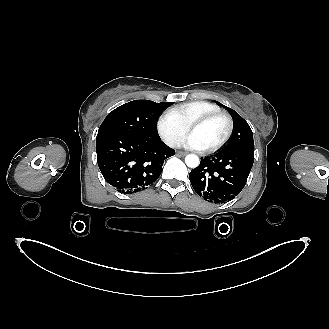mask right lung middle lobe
I'll return each instance as SVG.
<instances>
[{
  "label": "right lung middle lobe",
  "mask_w": 329,
  "mask_h": 329,
  "mask_svg": "<svg viewBox=\"0 0 329 329\" xmlns=\"http://www.w3.org/2000/svg\"><path fill=\"white\" fill-rule=\"evenodd\" d=\"M173 103H156L150 100L128 102L107 115L98 130V134L117 132L160 139L157 132V120L163 110Z\"/></svg>",
  "instance_id": "1"
}]
</instances>
